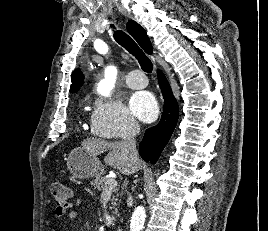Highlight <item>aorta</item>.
I'll list each match as a JSON object with an SVG mask.
<instances>
[{
	"label": "aorta",
	"mask_w": 268,
	"mask_h": 231,
	"mask_svg": "<svg viewBox=\"0 0 268 231\" xmlns=\"http://www.w3.org/2000/svg\"><path fill=\"white\" fill-rule=\"evenodd\" d=\"M116 78L117 68L115 66L107 67L105 70V78L98 84V93L102 96L109 97L111 90L115 86ZM145 218V208L143 206H137L131 217L130 231H141L144 226Z\"/></svg>",
	"instance_id": "1"
}]
</instances>
